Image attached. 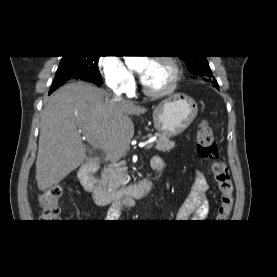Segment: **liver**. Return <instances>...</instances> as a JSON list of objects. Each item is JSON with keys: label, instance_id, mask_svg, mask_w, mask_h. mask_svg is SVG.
<instances>
[{"label": "liver", "instance_id": "obj_1", "mask_svg": "<svg viewBox=\"0 0 277 277\" xmlns=\"http://www.w3.org/2000/svg\"><path fill=\"white\" fill-rule=\"evenodd\" d=\"M146 111L132 101L110 99L89 83L62 86L47 99L41 113L36 159L39 190L58 184L87 158L80 131L95 138L105 162L115 160L128 150L134 136L129 116Z\"/></svg>", "mask_w": 277, "mask_h": 277}]
</instances>
